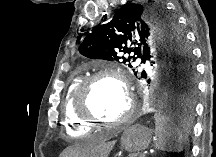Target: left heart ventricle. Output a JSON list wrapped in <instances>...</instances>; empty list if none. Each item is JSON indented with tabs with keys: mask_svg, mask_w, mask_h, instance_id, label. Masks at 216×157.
<instances>
[{
	"mask_svg": "<svg viewBox=\"0 0 216 157\" xmlns=\"http://www.w3.org/2000/svg\"><path fill=\"white\" fill-rule=\"evenodd\" d=\"M127 105L123 90L114 80L102 78L92 85L90 108L98 118L114 122L125 113Z\"/></svg>",
	"mask_w": 216,
	"mask_h": 157,
	"instance_id": "b2bd125f",
	"label": "left heart ventricle"
}]
</instances>
